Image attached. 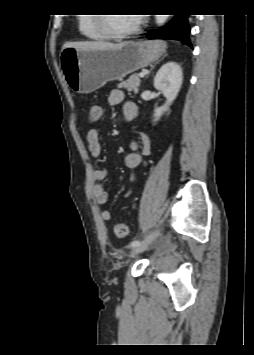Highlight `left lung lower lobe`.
Here are the masks:
<instances>
[{
	"instance_id": "left-lung-lower-lobe-1",
	"label": "left lung lower lobe",
	"mask_w": 254,
	"mask_h": 355,
	"mask_svg": "<svg viewBox=\"0 0 254 355\" xmlns=\"http://www.w3.org/2000/svg\"><path fill=\"white\" fill-rule=\"evenodd\" d=\"M187 17L188 15L186 14L176 15L166 26L156 31L148 32L146 37L148 39L172 38L191 46L188 37L190 28Z\"/></svg>"
}]
</instances>
